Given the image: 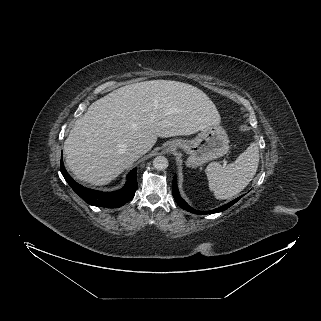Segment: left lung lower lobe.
I'll return each mask as SVG.
<instances>
[{
  "label": "left lung lower lobe",
  "instance_id": "left-lung-lower-lobe-1",
  "mask_svg": "<svg viewBox=\"0 0 321 321\" xmlns=\"http://www.w3.org/2000/svg\"><path fill=\"white\" fill-rule=\"evenodd\" d=\"M172 194H173V197L175 198V201L177 202V204L189 211V212H192V213H196V214H201V215H205V214H212V213H218V212H222L226 209H228L230 206H232L233 204H235L242 196L234 199L233 201L219 207V208H216L214 210H211V211H197L193 208H191L182 198L181 196L179 195V191H178V187H177V183H176V176H174V179L172 181Z\"/></svg>",
  "mask_w": 321,
  "mask_h": 321
}]
</instances>
